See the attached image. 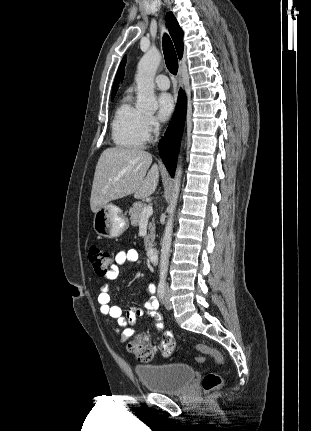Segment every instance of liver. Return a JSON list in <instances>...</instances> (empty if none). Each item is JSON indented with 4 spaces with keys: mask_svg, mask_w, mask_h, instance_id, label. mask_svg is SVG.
Segmentation results:
<instances>
[{
    "mask_svg": "<svg viewBox=\"0 0 311 431\" xmlns=\"http://www.w3.org/2000/svg\"><path fill=\"white\" fill-rule=\"evenodd\" d=\"M141 148H107L96 166L90 208L98 212L109 202L134 194L144 200L154 194L159 184V166ZM151 166V168H150ZM150 168V170H149Z\"/></svg>",
    "mask_w": 311,
    "mask_h": 431,
    "instance_id": "1",
    "label": "liver"
}]
</instances>
